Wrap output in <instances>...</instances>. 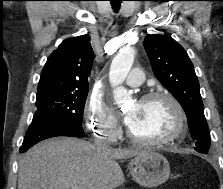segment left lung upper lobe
Returning <instances> with one entry per match:
<instances>
[{
  "label": "left lung upper lobe",
  "mask_w": 223,
  "mask_h": 189,
  "mask_svg": "<svg viewBox=\"0 0 223 189\" xmlns=\"http://www.w3.org/2000/svg\"><path fill=\"white\" fill-rule=\"evenodd\" d=\"M144 48L156 78L183 107L191 134L197 140L195 150L207 154L210 133L199 82L187 52L174 39L162 35L146 36Z\"/></svg>",
  "instance_id": "5c2ea615"
}]
</instances>
